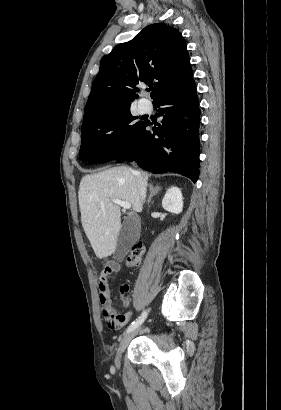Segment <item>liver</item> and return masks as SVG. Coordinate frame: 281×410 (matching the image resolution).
<instances>
[{
  "label": "liver",
  "mask_w": 281,
  "mask_h": 410,
  "mask_svg": "<svg viewBox=\"0 0 281 410\" xmlns=\"http://www.w3.org/2000/svg\"><path fill=\"white\" fill-rule=\"evenodd\" d=\"M137 175L142 177L146 187L148 173L124 166L85 175L80 182L78 198L82 226L100 259L115 252L121 229L120 207L112 199L129 202L135 212L143 209ZM101 201H104L103 206Z\"/></svg>",
  "instance_id": "6515ba94"
}]
</instances>
